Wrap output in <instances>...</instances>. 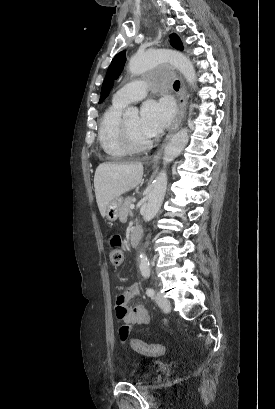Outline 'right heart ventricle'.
Masks as SVG:
<instances>
[{"label":"right heart ventricle","instance_id":"obj_1","mask_svg":"<svg viewBox=\"0 0 275 409\" xmlns=\"http://www.w3.org/2000/svg\"><path fill=\"white\" fill-rule=\"evenodd\" d=\"M123 109L124 107L113 103L100 119L98 142L107 157H123L129 154L121 133Z\"/></svg>","mask_w":275,"mask_h":409}]
</instances>
